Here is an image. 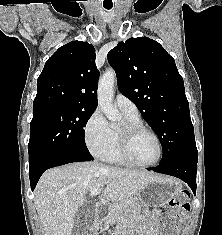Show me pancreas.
<instances>
[{
	"mask_svg": "<svg viewBox=\"0 0 222 235\" xmlns=\"http://www.w3.org/2000/svg\"><path fill=\"white\" fill-rule=\"evenodd\" d=\"M135 203L134 199H129L128 201L119 204L110 205V210L107 216L101 221L96 222L94 224V229L98 230L102 225L107 226L113 224L118 221L122 215L134 213L136 211Z\"/></svg>",
	"mask_w": 222,
	"mask_h": 235,
	"instance_id": "pancreas-1",
	"label": "pancreas"
}]
</instances>
